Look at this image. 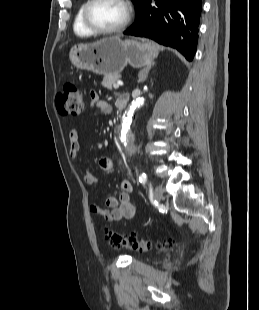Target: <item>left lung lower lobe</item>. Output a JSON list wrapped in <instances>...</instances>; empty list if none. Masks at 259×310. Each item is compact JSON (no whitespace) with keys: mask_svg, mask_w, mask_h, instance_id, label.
I'll return each instance as SVG.
<instances>
[{"mask_svg":"<svg viewBox=\"0 0 259 310\" xmlns=\"http://www.w3.org/2000/svg\"><path fill=\"white\" fill-rule=\"evenodd\" d=\"M144 0L124 34L146 37L176 48L192 61L198 42L202 0Z\"/></svg>","mask_w":259,"mask_h":310,"instance_id":"obj_1","label":"left lung lower lobe"}]
</instances>
